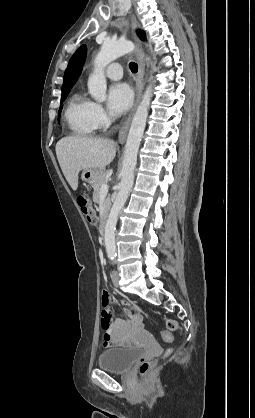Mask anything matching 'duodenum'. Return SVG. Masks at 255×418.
<instances>
[{
    "instance_id": "obj_1",
    "label": "duodenum",
    "mask_w": 255,
    "mask_h": 418,
    "mask_svg": "<svg viewBox=\"0 0 255 418\" xmlns=\"http://www.w3.org/2000/svg\"><path fill=\"white\" fill-rule=\"evenodd\" d=\"M107 217V213H104L99 223L98 233L101 237H103L106 233Z\"/></svg>"
}]
</instances>
